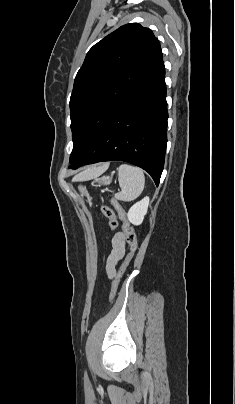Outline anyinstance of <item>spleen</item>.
Instances as JSON below:
<instances>
[{"mask_svg": "<svg viewBox=\"0 0 235 404\" xmlns=\"http://www.w3.org/2000/svg\"><path fill=\"white\" fill-rule=\"evenodd\" d=\"M118 181L122 190L115 195V198L129 202L136 199L142 193L145 176L140 168L123 164L118 169Z\"/></svg>", "mask_w": 235, "mask_h": 404, "instance_id": "3e777b00", "label": "spleen"}]
</instances>
